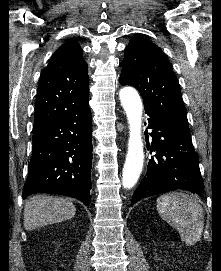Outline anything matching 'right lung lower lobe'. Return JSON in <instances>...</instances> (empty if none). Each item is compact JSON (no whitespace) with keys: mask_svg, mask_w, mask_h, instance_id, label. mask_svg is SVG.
Here are the masks:
<instances>
[{"mask_svg":"<svg viewBox=\"0 0 221 271\" xmlns=\"http://www.w3.org/2000/svg\"><path fill=\"white\" fill-rule=\"evenodd\" d=\"M90 109L33 128V153L23 198L60 194L90 204L92 166Z\"/></svg>","mask_w":221,"mask_h":271,"instance_id":"1","label":"right lung lower lobe"}]
</instances>
